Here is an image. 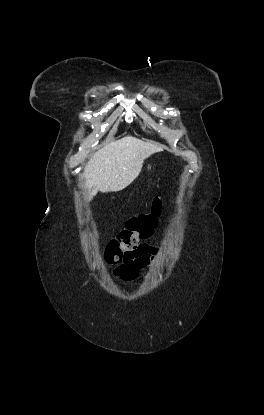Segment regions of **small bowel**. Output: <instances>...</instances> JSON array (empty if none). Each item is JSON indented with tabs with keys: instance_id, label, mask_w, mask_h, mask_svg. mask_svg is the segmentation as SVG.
Returning <instances> with one entry per match:
<instances>
[{
	"instance_id": "1",
	"label": "small bowel",
	"mask_w": 264,
	"mask_h": 415,
	"mask_svg": "<svg viewBox=\"0 0 264 415\" xmlns=\"http://www.w3.org/2000/svg\"><path fill=\"white\" fill-rule=\"evenodd\" d=\"M159 253L160 247L153 244H147L137 250L135 257L129 264L114 270L113 275L124 281L135 280L138 276L139 270L150 267L156 261Z\"/></svg>"
}]
</instances>
